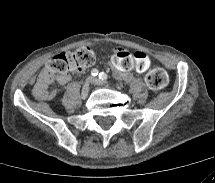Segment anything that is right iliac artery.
Instances as JSON below:
<instances>
[{"mask_svg":"<svg viewBox=\"0 0 215 183\" xmlns=\"http://www.w3.org/2000/svg\"><path fill=\"white\" fill-rule=\"evenodd\" d=\"M91 75L92 76H97L98 75V70L97 69H92Z\"/></svg>","mask_w":215,"mask_h":183,"instance_id":"right-iliac-artery-1","label":"right iliac artery"}]
</instances>
